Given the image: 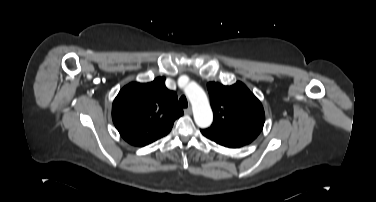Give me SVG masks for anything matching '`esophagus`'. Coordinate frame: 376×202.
Instances as JSON below:
<instances>
[{"label": "esophagus", "mask_w": 376, "mask_h": 202, "mask_svg": "<svg viewBox=\"0 0 376 202\" xmlns=\"http://www.w3.org/2000/svg\"><path fill=\"white\" fill-rule=\"evenodd\" d=\"M184 113H185L186 115H190V114L192 113L191 108L189 107V108L185 109V110H184Z\"/></svg>", "instance_id": "esophagus-1"}]
</instances>
